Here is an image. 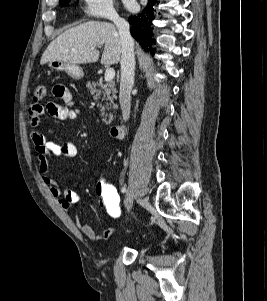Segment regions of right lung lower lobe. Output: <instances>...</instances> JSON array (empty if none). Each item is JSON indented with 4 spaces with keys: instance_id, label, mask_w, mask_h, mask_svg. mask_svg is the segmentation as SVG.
Segmentation results:
<instances>
[{
    "instance_id": "98d812e1",
    "label": "right lung lower lobe",
    "mask_w": 267,
    "mask_h": 301,
    "mask_svg": "<svg viewBox=\"0 0 267 301\" xmlns=\"http://www.w3.org/2000/svg\"><path fill=\"white\" fill-rule=\"evenodd\" d=\"M157 0H148L146 9L141 14L129 17V23L131 24V34L139 42L142 48L147 51V47L152 46L154 40L152 37L151 21L154 19V9Z\"/></svg>"
}]
</instances>
